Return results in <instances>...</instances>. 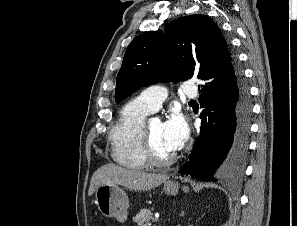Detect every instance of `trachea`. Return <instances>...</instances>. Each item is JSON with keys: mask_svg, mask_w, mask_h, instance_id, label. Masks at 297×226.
<instances>
[{"mask_svg": "<svg viewBox=\"0 0 297 226\" xmlns=\"http://www.w3.org/2000/svg\"><path fill=\"white\" fill-rule=\"evenodd\" d=\"M190 102H191V103H195V101H194V100H191Z\"/></svg>", "mask_w": 297, "mask_h": 226, "instance_id": "trachea-1", "label": "trachea"}]
</instances>
